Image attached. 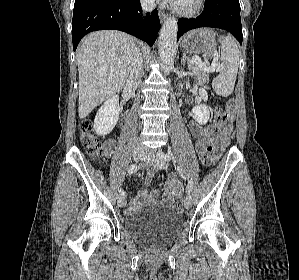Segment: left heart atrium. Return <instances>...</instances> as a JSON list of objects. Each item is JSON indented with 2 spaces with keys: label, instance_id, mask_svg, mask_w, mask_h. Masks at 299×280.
<instances>
[{
  "label": "left heart atrium",
  "instance_id": "obj_1",
  "mask_svg": "<svg viewBox=\"0 0 299 280\" xmlns=\"http://www.w3.org/2000/svg\"><path fill=\"white\" fill-rule=\"evenodd\" d=\"M171 4H177L179 0H165Z\"/></svg>",
  "mask_w": 299,
  "mask_h": 280
}]
</instances>
